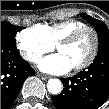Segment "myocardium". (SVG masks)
Masks as SVG:
<instances>
[{
	"label": "myocardium",
	"mask_w": 109,
	"mask_h": 109,
	"mask_svg": "<svg viewBox=\"0 0 109 109\" xmlns=\"http://www.w3.org/2000/svg\"><path fill=\"white\" fill-rule=\"evenodd\" d=\"M86 31H90L93 34V48L91 54L83 63L71 68L74 71H80L89 67L95 60L99 49V34L97 30L92 26H83L69 34L56 45V49L59 51L60 48L73 44Z\"/></svg>",
	"instance_id": "obj_1"
}]
</instances>
